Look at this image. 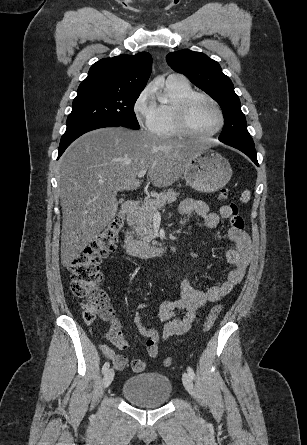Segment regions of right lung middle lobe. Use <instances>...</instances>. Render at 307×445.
Listing matches in <instances>:
<instances>
[{"mask_svg": "<svg viewBox=\"0 0 307 445\" xmlns=\"http://www.w3.org/2000/svg\"><path fill=\"white\" fill-rule=\"evenodd\" d=\"M139 95L91 94L76 96L67 128L88 123H109L139 129L133 111Z\"/></svg>", "mask_w": 307, "mask_h": 445, "instance_id": "dd1d6c3e", "label": "right lung middle lobe"}]
</instances>
